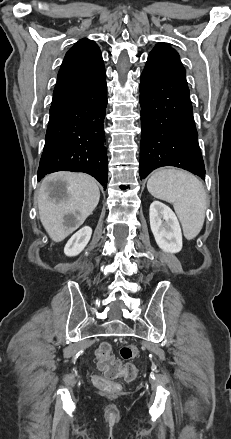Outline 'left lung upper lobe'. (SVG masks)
<instances>
[{"label":"left lung upper lobe","instance_id":"obj_1","mask_svg":"<svg viewBox=\"0 0 231 439\" xmlns=\"http://www.w3.org/2000/svg\"><path fill=\"white\" fill-rule=\"evenodd\" d=\"M157 46L168 48L169 50L173 51L179 57L178 53L174 49H172L169 45H167L165 43H160Z\"/></svg>","mask_w":231,"mask_h":439}]
</instances>
